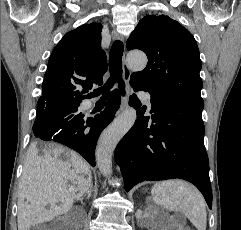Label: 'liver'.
I'll return each mask as SVG.
<instances>
[{
  "label": "liver",
  "instance_id": "liver-1",
  "mask_svg": "<svg viewBox=\"0 0 241 230\" xmlns=\"http://www.w3.org/2000/svg\"><path fill=\"white\" fill-rule=\"evenodd\" d=\"M51 148L40 153L33 145L27 152L19 185L18 230L68 212L91 185L90 167L78 154L54 144Z\"/></svg>",
  "mask_w": 241,
  "mask_h": 230
}]
</instances>
